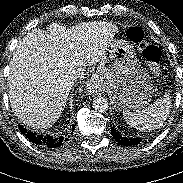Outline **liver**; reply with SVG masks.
<instances>
[{
	"label": "liver",
	"instance_id": "1",
	"mask_svg": "<svg viewBox=\"0 0 183 183\" xmlns=\"http://www.w3.org/2000/svg\"><path fill=\"white\" fill-rule=\"evenodd\" d=\"M118 32L111 22L57 23L48 32L34 28L19 41L10 62L8 95L15 116L26 126L47 129L61 116L73 81L72 69L101 60Z\"/></svg>",
	"mask_w": 183,
	"mask_h": 183
}]
</instances>
